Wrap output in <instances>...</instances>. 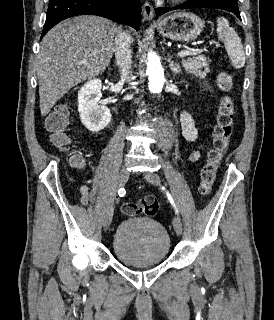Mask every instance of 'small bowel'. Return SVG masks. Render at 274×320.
I'll use <instances>...</instances> for the list:
<instances>
[{"mask_svg":"<svg viewBox=\"0 0 274 320\" xmlns=\"http://www.w3.org/2000/svg\"><path fill=\"white\" fill-rule=\"evenodd\" d=\"M181 122H182V129H183V133L186 141L190 143L195 142L198 137V132L195 127L192 116L188 112L183 113ZM199 156H200L199 152L194 151L191 153L189 157V161L195 162L199 158ZM72 161H85V166H86V159L82 155H75L72 158ZM78 169H84V168H78ZM80 193H81V198H80L81 203L83 205H87L90 199L89 187L87 185H82L80 187Z\"/></svg>","mask_w":274,"mask_h":320,"instance_id":"obj_1","label":"small bowel"}]
</instances>
